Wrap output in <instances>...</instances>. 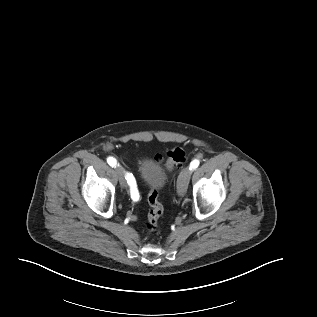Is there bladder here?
Listing matches in <instances>:
<instances>
[{
  "label": "bladder",
  "mask_w": 317,
  "mask_h": 317,
  "mask_svg": "<svg viewBox=\"0 0 317 317\" xmlns=\"http://www.w3.org/2000/svg\"><path fill=\"white\" fill-rule=\"evenodd\" d=\"M138 169L141 179L150 190L158 191L164 187L167 174L158 163L150 159H141Z\"/></svg>",
  "instance_id": "1"
}]
</instances>
